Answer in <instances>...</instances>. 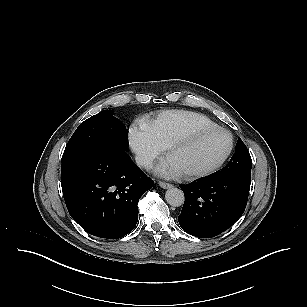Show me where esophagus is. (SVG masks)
I'll use <instances>...</instances> for the list:
<instances>
[{
  "label": "esophagus",
  "mask_w": 307,
  "mask_h": 307,
  "mask_svg": "<svg viewBox=\"0 0 307 307\" xmlns=\"http://www.w3.org/2000/svg\"><path fill=\"white\" fill-rule=\"evenodd\" d=\"M160 185V187H162L163 189H168V188H171L173 187L172 184L170 183H167V182H163V181H159L158 183Z\"/></svg>",
  "instance_id": "obj_1"
}]
</instances>
